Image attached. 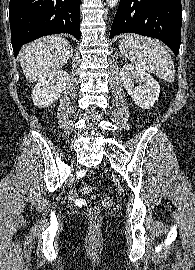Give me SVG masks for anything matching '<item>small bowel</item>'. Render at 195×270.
<instances>
[{"mask_svg":"<svg viewBox=\"0 0 195 270\" xmlns=\"http://www.w3.org/2000/svg\"><path fill=\"white\" fill-rule=\"evenodd\" d=\"M70 198L75 205L82 206L84 204V201L81 198L77 197L74 192L70 193Z\"/></svg>","mask_w":195,"mask_h":270,"instance_id":"c3829d8e","label":"small bowel"}]
</instances>
